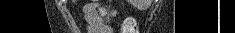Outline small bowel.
I'll use <instances>...</instances> for the list:
<instances>
[{"mask_svg": "<svg viewBox=\"0 0 235 33\" xmlns=\"http://www.w3.org/2000/svg\"><path fill=\"white\" fill-rule=\"evenodd\" d=\"M99 4L87 3L83 8L84 19L88 33H113L112 28L105 24L98 13Z\"/></svg>", "mask_w": 235, "mask_h": 33, "instance_id": "1", "label": "small bowel"}]
</instances>
